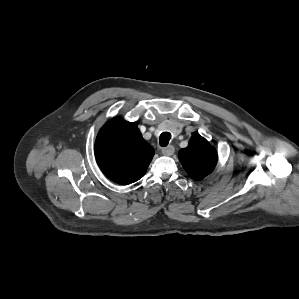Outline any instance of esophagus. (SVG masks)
Returning a JSON list of instances; mask_svg holds the SVG:
<instances>
[{"label": "esophagus", "instance_id": "1", "mask_svg": "<svg viewBox=\"0 0 299 299\" xmlns=\"http://www.w3.org/2000/svg\"><path fill=\"white\" fill-rule=\"evenodd\" d=\"M174 151H175V148L172 145H169L162 149V154L165 156H171V155H173Z\"/></svg>", "mask_w": 299, "mask_h": 299}]
</instances>
